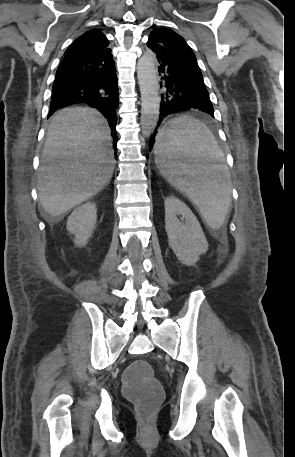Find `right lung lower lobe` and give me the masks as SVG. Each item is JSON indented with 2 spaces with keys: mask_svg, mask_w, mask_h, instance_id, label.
I'll return each instance as SVG.
<instances>
[{
  "mask_svg": "<svg viewBox=\"0 0 295 457\" xmlns=\"http://www.w3.org/2000/svg\"><path fill=\"white\" fill-rule=\"evenodd\" d=\"M88 103L107 118L116 150L118 83L109 48L85 57L63 59L56 72L48 117L66 105Z\"/></svg>",
  "mask_w": 295,
  "mask_h": 457,
  "instance_id": "98d812e1",
  "label": "right lung lower lobe"
}]
</instances>
